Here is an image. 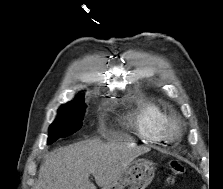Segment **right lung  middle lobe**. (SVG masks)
Here are the masks:
<instances>
[{"label":"right lung middle lobe","instance_id":"1","mask_svg":"<svg viewBox=\"0 0 223 189\" xmlns=\"http://www.w3.org/2000/svg\"><path fill=\"white\" fill-rule=\"evenodd\" d=\"M85 104L83 95L59 108L57 118L49 128L48 145L59 138L67 137L82 127Z\"/></svg>","mask_w":223,"mask_h":189}]
</instances>
